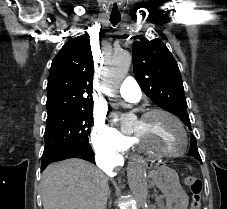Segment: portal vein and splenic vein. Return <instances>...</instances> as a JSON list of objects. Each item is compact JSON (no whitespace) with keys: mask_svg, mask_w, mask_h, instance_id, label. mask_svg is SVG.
Wrapping results in <instances>:
<instances>
[{"mask_svg":"<svg viewBox=\"0 0 227 209\" xmlns=\"http://www.w3.org/2000/svg\"><path fill=\"white\" fill-rule=\"evenodd\" d=\"M164 196L162 194L158 195L159 200L161 201Z\"/></svg>","mask_w":227,"mask_h":209,"instance_id":"1","label":"portal vein and splenic vein"}]
</instances>
